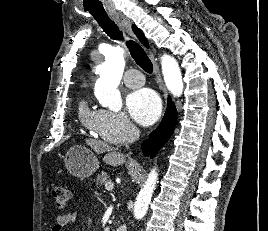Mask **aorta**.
I'll list each match as a JSON object with an SVG mask.
<instances>
[{"instance_id": "762f6f07", "label": "aorta", "mask_w": 268, "mask_h": 231, "mask_svg": "<svg viewBox=\"0 0 268 231\" xmlns=\"http://www.w3.org/2000/svg\"><path fill=\"white\" fill-rule=\"evenodd\" d=\"M162 74L168 90L174 97H180L183 92L182 74L178 62L170 55L161 57ZM124 50L120 46L113 47L102 64L100 77L95 84V95L103 107L112 111L122 108V99L118 85L124 72ZM158 174L152 169L144 186L139 191L134 204L133 214L136 219H142L150 204L156 188Z\"/></svg>"}]
</instances>
